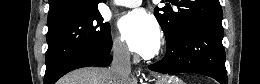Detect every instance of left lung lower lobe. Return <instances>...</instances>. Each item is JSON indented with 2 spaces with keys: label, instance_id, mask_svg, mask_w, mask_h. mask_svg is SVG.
Instances as JSON below:
<instances>
[{
  "label": "left lung lower lobe",
  "instance_id": "obj_1",
  "mask_svg": "<svg viewBox=\"0 0 260 84\" xmlns=\"http://www.w3.org/2000/svg\"><path fill=\"white\" fill-rule=\"evenodd\" d=\"M222 20L203 19L187 24L167 43L165 57L149 69L160 73H198L227 84Z\"/></svg>",
  "mask_w": 260,
  "mask_h": 84
}]
</instances>
